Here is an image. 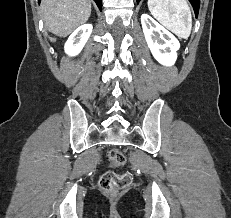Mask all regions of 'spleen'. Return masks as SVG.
<instances>
[{"mask_svg":"<svg viewBox=\"0 0 231 218\" xmlns=\"http://www.w3.org/2000/svg\"><path fill=\"white\" fill-rule=\"evenodd\" d=\"M151 14L178 37L187 39L192 30V15L186 0H148Z\"/></svg>","mask_w":231,"mask_h":218,"instance_id":"spleen-1","label":"spleen"}]
</instances>
